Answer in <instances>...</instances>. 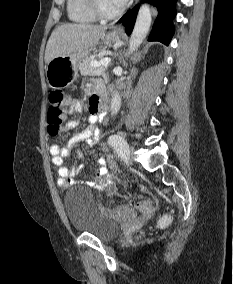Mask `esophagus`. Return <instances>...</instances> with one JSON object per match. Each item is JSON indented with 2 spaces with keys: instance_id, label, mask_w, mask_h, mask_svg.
I'll return each mask as SVG.
<instances>
[{
  "instance_id": "obj_1",
  "label": "esophagus",
  "mask_w": 233,
  "mask_h": 284,
  "mask_svg": "<svg viewBox=\"0 0 233 284\" xmlns=\"http://www.w3.org/2000/svg\"><path fill=\"white\" fill-rule=\"evenodd\" d=\"M123 29H124L123 24H119V25L116 27L115 30L121 32V31H123Z\"/></svg>"
}]
</instances>
